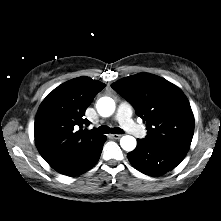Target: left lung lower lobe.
I'll list each match as a JSON object with an SVG mask.
<instances>
[{
	"instance_id": "obj_1",
	"label": "left lung lower lobe",
	"mask_w": 221,
	"mask_h": 221,
	"mask_svg": "<svg viewBox=\"0 0 221 221\" xmlns=\"http://www.w3.org/2000/svg\"><path fill=\"white\" fill-rule=\"evenodd\" d=\"M187 152L178 147L158 145L138 139L137 147L128 153V159L140 172L160 176L174 169Z\"/></svg>"
}]
</instances>
